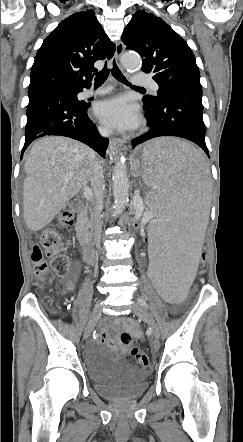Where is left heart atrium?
Instances as JSON below:
<instances>
[{
	"instance_id": "1",
	"label": "left heart atrium",
	"mask_w": 243,
	"mask_h": 442,
	"mask_svg": "<svg viewBox=\"0 0 243 442\" xmlns=\"http://www.w3.org/2000/svg\"><path fill=\"white\" fill-rule=\"evenodd\" d=\"M96 115L106 126L121 131L135 128L140 120L138 107L123 96L100 102Z\"/></svg>"
}]
</instances>
